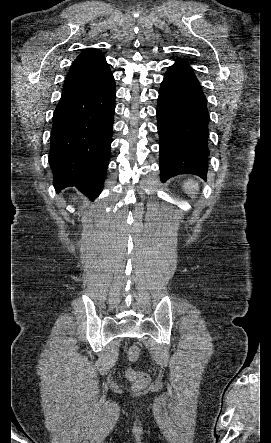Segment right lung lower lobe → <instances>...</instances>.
Returning <instances> with one entry per match:
<instances>
[{
	"label": "right lung lower lobe",
	"mask_w": 271,
	"mask_h": 443,
	"mask_svg": "<svg viewBox=\"0 0 271 443\" xmlns=\"http://www.w3.org/2000/svg\"><path fill=\"white\" fill-rule=\"evenodd\" d=\"M114 78L62 91L54 111L49 163L56 191L75 186L90 199L103 188L113 133Z\"/></svg>",
	"instance_id": "1"
}]
</instances>
